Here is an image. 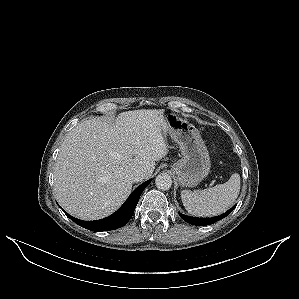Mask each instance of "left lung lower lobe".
Here are the masks:
<instances>
[{
	"instance_id": "obj_1",
	"label": "left lung lower lobe",
	"mask_w": 299,
	"mask_h": 299,
	"mask_svg": "<svg viewBox=\"0 0 299 299\" xmlns=\"http://www.w3.org/2000/svg\"><path fill=\"white\" fill-rule=\"evenodd\" d=\"M234 208H235V206H233L231 209L226 211L224 214H221L220 216H216V217H212V218H194V217H189V216L183 215L181 213H179V215L183 220H185L189 224L205 226V225H211V224L221 220L222 218L226 217Z\"/></svg>"
}]
</instances>
